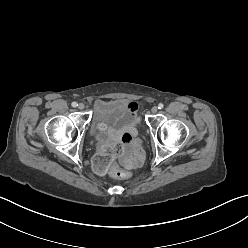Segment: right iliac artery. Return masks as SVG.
Listing matches in <instances>:
<instances>
[{
	"label": "right iliac artery",
	"instance_id": "1",
	"mask_svg": "<svg viewBox=\"0 0 248 248\" xmlns=\"http://www.w3.org/2000/svg\"><path fill=\"white\" fill-rule=\"evenodd\" d=\"M73 107H77L78 106V104L76 103V102H72V104H71Z\"/></svg>",
	"mask_w": 248,
	"mask_h": 248
}]
</instances>
